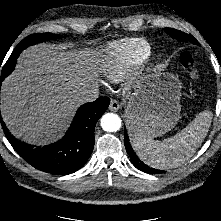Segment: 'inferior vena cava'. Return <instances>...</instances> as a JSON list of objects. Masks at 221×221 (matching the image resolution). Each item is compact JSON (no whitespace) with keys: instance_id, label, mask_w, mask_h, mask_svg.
Instances as JSON below:
<instances>
[{"instance_id":"1","label":"inferior vena cava","mask_w":221,"mask_h":221,"mask_svg":"<svg viewBox=\"0 0 221 221\" xmlns=\"http://www.w3.org/2000/svg\"><path fill=\"white\" fill-rule=\"evenodd\" d=\"M99 97V89L96 85L87 87L77 94L80 103L93 102Z\"/></svg>"}]
</instances>
